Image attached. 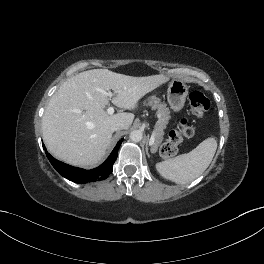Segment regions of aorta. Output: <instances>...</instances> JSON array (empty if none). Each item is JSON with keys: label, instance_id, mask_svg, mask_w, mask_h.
<instances>
[{"label": "aorta", "instance_id": "762f6f07", "mask_svg": "<svg viewBox=\"0 0 264 264\" xmlns=\"http://www.w3.org/2000/svg\"><path fill=\"white\" fill-rule=\"evenodd\" d=\"M142 135L140 130H134L130 133V140L133 142H140L142 140Z\"/></svg>", "mask_w": 264, "mask_h": 264}]
</instances>
